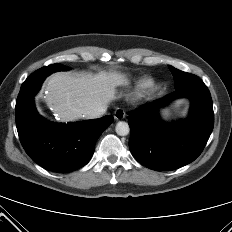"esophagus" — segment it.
Masks as SVG:
<instances>
[{
  "label": "esophagus",
  "instance_id": "34e87169",
  "mask_svg": "<svg viewBox=\"0 0 232 232\" xmlns=\"http://www.w3.org/2000/svg\"><path fill=\"white\" fill-rule=\"evenodd\" d=\"M125 116H126V113L123 108H117L114 112V118L117 120H121L125 118Z\"/></svg>",
  "mask_w": 232,
  "mask_h": 232
}]
</instances>
